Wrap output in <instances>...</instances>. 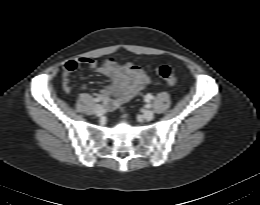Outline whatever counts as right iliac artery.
<instances>
[{"label": "right iliac artery", "mask_w": 260, "mask_h": 205, "mask_svg": "<svg viewBox=\"0 0 260 205\" xmlns=\"http://www.w3.org/2000/svg\"><path fill=\"white\" fill-rule=\"evenodd\" d=\"M94 101L95 102H100V99L99 98H95Z\"/></svg>", "instance_id": "right-iliac-artery-1"}]
</instances>
